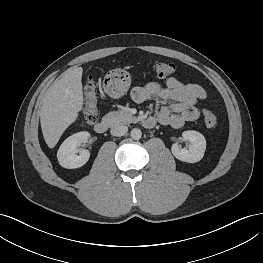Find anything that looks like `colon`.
Returning a JSON list of instances; mask_svg holds the SVG:
<instances>
[{
	"label": "colon",
	"mask_w": 263,
	"mask_h": 263,
	"mask_svg": "<svg viewBox=\"0 0 263 263\" xmlns=\"http://www.w3.org/2000/svg\"><path fill=\"white\" fill-rule=\"evenodd\" d=\"M153 72L161 78H167L175 74L176 66L171 62L153 61L150 63ZM84 107L82 110V120L85 124L92 125L98 120L97 109V87L93 78H88L83 86ZM205 124L210 129H215L218 125L217 118L205 109L204 111Z\"/></svg>",
	"instance_id": "obj_1"
}]
</instances>
